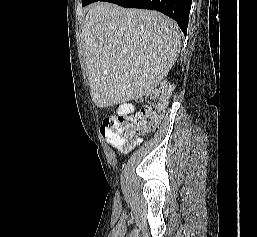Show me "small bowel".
<instances>
[{"label": "small bowel", "instance_id": "c3829d8e", "mask_svg": "<svg viewBox=\"0 0 257 237\" xmlns=\"http://www.w3.org/2000/svg\"><path fill=\"white\" fill-rule=\"evenodd\" d=\"M133 110H134V105L131 103H124L120 107V112L123 114L131 113ZM140 142H141V139L137 138L131 143H127L126 141H121V142L111 141L110 143L115 148H125V151H129Z\"/></svg>", "mask_w": 257, "mask_h": 237}]
</instances>
